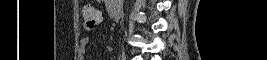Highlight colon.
Listing matches in <instances>:
<instances>
[{"label": "colon", "instance_id": "1", "mask_svg": "<svg viewBox=\"0 0 267 60\" xmlns=\"http://www.w3.org/2000/svg\"><path fill=\"white\" fill-rule=\"evenodd\" d=\"M83 26L90 30L97 26L102 19V12L93 5H86L82 10Z\"/></svg>", "mask_w": 267, "mask_h": 60}]
</instances>
